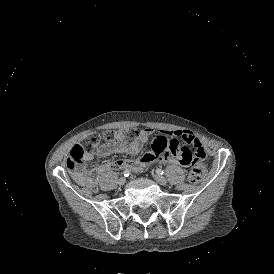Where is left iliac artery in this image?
Returning a JSON list of instances; mask_svg holds the SVG:
<instances>
[{"label":"left iliac artery","mask_w":274,"mask_h":274,"mask_svg":"<svg viewBox=\"0 0 274 274\" xmlns=\"http://www.w3.org/2000/svg\"><path fill=\"white\" fill-rule=\"evenodd\" d=\"M156 173H157V174H160V175H163V174H164V171H163L162 169H159V168H158V169L156 170Z\"/></svg>","instance_id":"44dca946"}]
</instances>
